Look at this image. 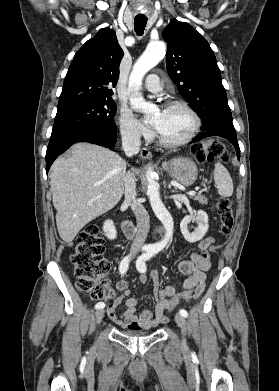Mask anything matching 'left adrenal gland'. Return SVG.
I'll return each instance as SVG.
<instances>
[{
  "instance_id": "1",
  "label": "left adrenal gland",
  "mask_w": 279,
  "mask_h": 391,
  "mask_svg": "<svg viewBox=\"0 0 279 391\" xmlns=\"http://www.w3.org/2000/svg\"><path fill=\"white\" fill-rule=\"evenodd\" d=\"M168 188H169V189L171 188V185H170V184H168ZM172 192H175V191L173 190Z\"/></svg>"
}]
</instances>
